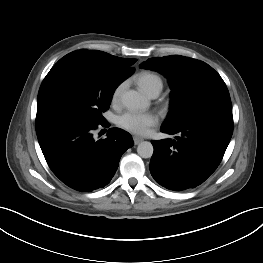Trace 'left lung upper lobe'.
<instances>
[{
	"label": "left lung upper lobe",
	"instance_id": "obj_1",
	"mask_svg": "<svg viewBox=\"0 0 263 263\" xmlns=\"http://www.w3.org/2000/svg\"><path fill=\"white\" fill-rule=\"evenodd\" d=\"M141 67L165 75L172 89L170 111L163 126L174 127L211 115L233 119L226 84L208 64L173 55L150 58Z\"/></svg>",
	"mask_w": 263,
	"mask_h": 263
}]
</instances>
